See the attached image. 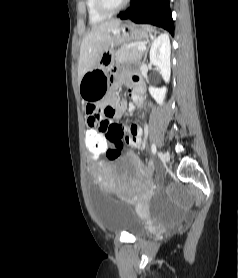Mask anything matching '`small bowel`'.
<instances>
[{"mask_svg": "<svg viewBox=\"0 0 238 278\" xmlns=\"http://www.w3.org/2000/svg\"><path fill=\"white\" fill-rule=\"evenodd\" d=\"M124 79H128L131 87L129 89L135 104L138 107L144 106L143 85L137 75H126L116 73L112 84L117 87ZM127 110V104L123 101L116 102L115 97L111 95L104 103H89L86 107L88 130H97L99 137H105L107 144H114L112 137H119L121 141L132 148L142 146V129L138 124H132L130 127H124L110 120L112 117H120ZM106 113H114L108 116ZM117 126V127H114ZM125 133L127 135H125ZM137 169H142V163L136 159Z\"/></svg>", "mask_w": 238, "mask_h": 278, "instance_id": "c3829d8e", "label": "small bowel"}]
</instances>
